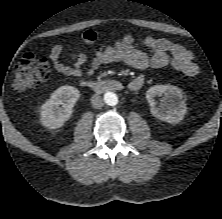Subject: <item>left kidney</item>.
I'll use <instances>...</instances> for the list:
<instances>
[{"mask_svg":"<svg viewBox=\"0 0 222 219\" xmlns=\"http://www.w3.org/2000/svg\"><path fill=\"white\" fill-rule=\"evenodd\" d=\"M163 96L159 106H155L154 98ZM146 99L151 108V114L161 121L178 123L186 114L187 107L183 101L181 90L173 85H155L147 90Z\"/></svg>","mask_w":222,"mask_h":219,"instance_id":"obj_1","label":"left kidney"}]
</instances>
